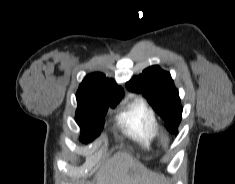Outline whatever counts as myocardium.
<instances>
[{"label":"myocardium","mask_w":235,"mask_h":184,"mask_svg":"<svg viewBox=\"0 0 235 184\" xmlns=\"http://www.w3.org/2000/svg\"><path fill=\"white\" fill-rule=\"evenodd\" d=\"M157 141L160 144V146L163 147V148H168L171 145V137L164 130H161V131L158 132Z\"/></svg>","instance_id":"obj_1"}]
</instances>
